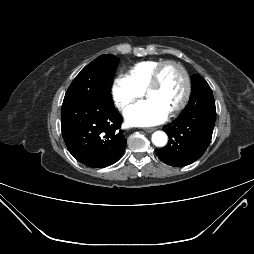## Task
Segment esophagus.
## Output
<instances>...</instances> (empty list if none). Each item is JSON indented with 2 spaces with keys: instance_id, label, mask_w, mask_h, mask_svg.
I'll return each mask as SVG.
<instances>
[{
  "instance_id": "esophagus-1",
  "label": "esophagus",
  "mask_w": 254,
  "mask_h": 254,
  "mask_svg": "<svg viewBox=\"0 0 254 254\" xmlns=\"http://www.w3.org/2000/svg\"><path fill=\"white\" fill-rule=\"evenodd\" d=\"M155 130V128H145L144 131L151 133Z\"/></svg>"
}]
</instances>
